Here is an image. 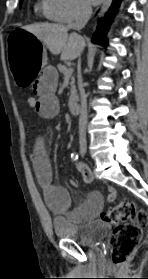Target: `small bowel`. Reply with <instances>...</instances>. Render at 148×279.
<instances>
[{
  "mask_svg": "<svg viewBox=\"0 0 148 279\" xmlns=\"http://www.w3.org/2000/svg\"><path fill=\"white\" fill-rule=\"evenodd\" d=\"M58 83L57 70L52 66H47L40 71V74L33 85V92L37 97L38 104L35 109L38 115L45 119L54 118L59 112V101L55 94ZM31 161L38 184L43 190L45 200L49 208L56 212H67L71 205L68 191L53 182L52 168L49 160L45 139L42 135H37L34 139ZM77 170L82 174L86 182L92 180V173L87 165L77 162ZM72 185H75L72 182ZM116 199L114 188L107 189V200L112 202ZM103 208V197L97 192H91L86 200L69 212V218L76 222H83L97 217Z\"/></svg>",
  "mask_w": 148,
  "mask_h": 279,
  "instance_id": "small-bowel-1",
  "label": "small bowel"
}]
</instances>
